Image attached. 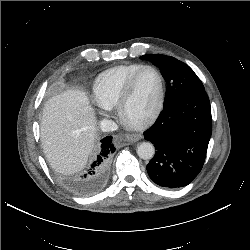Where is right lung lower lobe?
Wrapping results in <instances>:
<instances>
[{
  "mask_svg": "<svg viewBox=\"0 0 250 250\" xmlns=\"http://www.w3.org/2000/svg\"><path fill=\"white\" fill-rule=\"evenodd\" d=\"M114 151L112 136L103 138L96 160L77 182L79 194L89 196L98 193L103 188L108 178L109 158Z\"/></svg>",
  "mask_w": 250,
  "mask_h": 250,
  "instance_id": "1",
  "label": "right lung lower lobe"
}]
</instances>
